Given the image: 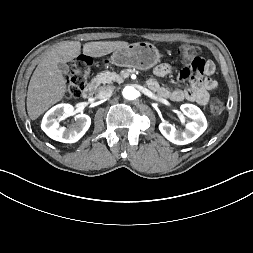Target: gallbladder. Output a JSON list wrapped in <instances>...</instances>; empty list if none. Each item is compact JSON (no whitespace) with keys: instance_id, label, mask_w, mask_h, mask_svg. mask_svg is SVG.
Returning <instances> with one entry per match:
<instances>
[{"instance_id":"bac80fb5","label":"gallbladder","mask_w":253,"mask_h":253,"mask_svg":"<svg viewBox=\"0 0 253 253\" xmlns=\"http://www.w3.org/2000/svg\"><path fill=\"white\" fill-rule=\"evenodd\" d=\"M58 68L63 74H68L69 72V66L66 63H59Z\"/></svg>"}]
</instances>
